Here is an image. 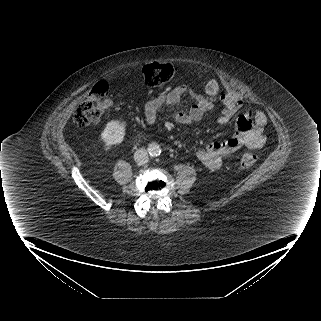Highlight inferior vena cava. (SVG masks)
<instances>
[{"mask_svg":"<svg viewBox=\"0 0 321 321\" xmlns=\"http://www.w3.org/2000/svg\"><path fill=\"white\" fill-rule=\"evenodd\" d=\"M134 160L139 165H144L148 162V151L144 148H139L134 153Z\"/></svg>","mask_w":321,"mask_h":321,"instance_id":"obj_1","label":"inferior vena cava"}]
</instances>
